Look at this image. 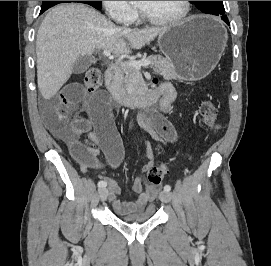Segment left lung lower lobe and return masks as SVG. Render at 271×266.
I'll use <instances>...</instances> for the list:
<instances>
[{
    "instance_id": "left-lung-lower-lobe-1",
    "label": "left lung lower lobe",
    "mask_w": 271,
    "mask_h": 266,
    "mask_svg": "<svg viewBox=\"0 0 271 266\" xmlns=\"http://www.w3.org/2000/svg\"><path fill=\"white\" fill-rule=\"evenodd\" d=\"M222 18V20L227 23L229 25V21H228V18L226 17V15H222L220 16Z\"/></svg>"
}]
</instances>
